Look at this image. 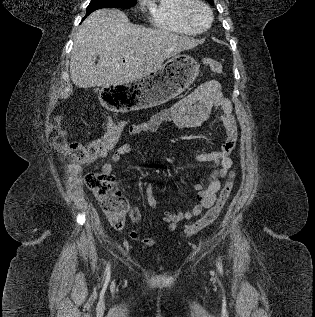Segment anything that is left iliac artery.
Wrapping results in <instances>:
<instances>
[{"label":"left iliac artery","instance_id":"44dca946","mask_svg":"<svg viewBox=\"0 0 315 317\" xmlns=\"http://www.w3.org/2000/svg\"><path fill=\"white\" fill-rule=\"evenodd\" d=\"M217 267L220 273H222V265L220 263H217Z\"/></svg>","mask_w":315,"mask_h":317}]
</instances>
